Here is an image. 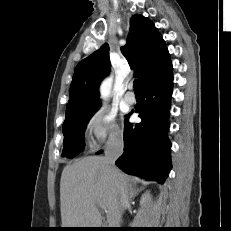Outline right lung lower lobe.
Instances as JSON below:
<instances>
[{"label": "right lung lower lobe", "mask_w": 231, "mask_h": 231, "mask_svg": "<svg viewBox=\"0 0 231 231\" xmlns=\"http://www.w3.org/2000/svg\"><path fill=\"white\" fill-rule=\"evenodd\" d=\"M172 71L144 84L142 102L136 106L141 123L125 121L124 153L115 164L124 172L162 184L171 169L167 138L172 94ZM99 151L98 153H101Z\"/></svg>", "instance_id": "right-lung-lower-lobe-1"}]
</instances>
